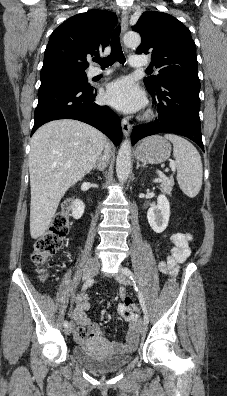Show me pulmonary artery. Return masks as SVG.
Wrapping results in <instances>:
<instances>
[{
    "label": "pulmonary artery",
    "mask_w": 227,
    "mask_h": 396,
    "mask_svg": "<svg viewBox=\"0 0 227 396\" xmlns=\"http://www.w3.org/2000/svg\"><path fill=\"white\" fill-rule=\"evenodd\" d=\"M129 62L132 67H142V66L147 65V60L145 58H143L142 56H138V55L131 56L129 59ZM111 73H112V71L110 69L101 70L100 68H93L90 71V75L92 77L99 76V75H109Z\"/></svg>",
    "instance_id": "obj_1"
}]
</instances>
